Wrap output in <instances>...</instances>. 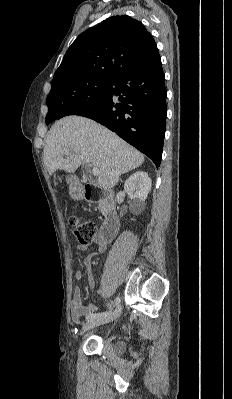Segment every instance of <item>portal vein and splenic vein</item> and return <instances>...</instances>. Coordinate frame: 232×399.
I'll list each match as a JSON object with an SVG mask.
<instances>
[{"label": "portal vein and splenic vein", "mask_w": 232, "mask_h": 399, "mask_svg": "<svg viewBox=\"0 0 232 399\" xmlns=\"http://www.w3.org/2000/svg\"><path fill=\"white\" fill-rule=\"evenodd\" d=\"M64 154H69L70 150L69 148H64L63 150ZM78 158H81L82 162H84V164H89V166H92V164H90V160H85V158H83V156H78ZM99 174V170L98 168H93V176H98Z\"/></svg>", "instance_id": "obj_1"}]
</instances>
